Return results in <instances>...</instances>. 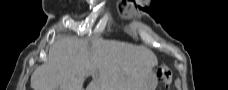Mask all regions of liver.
Returning <instances> with one entry per match:
<instances>
[{
  "label": "liver",
  "instance_id": "liver-1",
  "mask_svg": "<svg viewBox=\"0 0 228 90\" xmlns=\"http://www.w3.org/2000/svg\"><path fill=\"white\" fill-rule=\"evenodd\" d=\"M156 64V55L143 45L99 38L89 48L77 37L59 36L48 61L33 72L31 88L82 90L92 74L86 90H144Z\"/></svg>",
  "mask_w": 228,
  "mask_h": 90
}]
</instances>
